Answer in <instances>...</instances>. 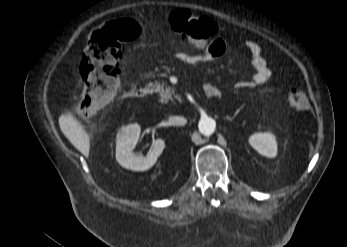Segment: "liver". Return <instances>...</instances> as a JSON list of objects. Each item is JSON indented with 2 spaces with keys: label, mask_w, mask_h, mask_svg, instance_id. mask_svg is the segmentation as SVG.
<instances>
[{
  "label": "liver",
  "mask_w": 347,
  "mask_h": 247,
  "mask_svg": "<svg viewBox=\"0 0 347 247\" xmlns=\"http://www.w3.org/2000/svg\"><path fill=\"white\" fill-rule=\"evenodd\" d=\"M60 121L62 129L70 135L75 147L87 157L90 149V136L84 127L70 113L62 115Z\"/></svg>",
  "instance_id": "6515ba94"
}]
</instances>
